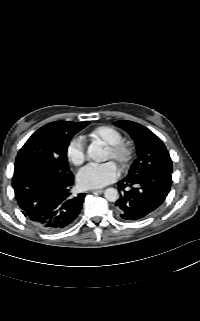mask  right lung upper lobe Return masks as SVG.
Here are the masks:
<instances>
[{"mask_svg":"<svg viewBox=\"0 0 200 321\" xmlns=\"http://www.w3.org/2000/svg\"><path fill=\"white\" fill-rule=\"evenodd\" d=\"M74 122H70V121H55V122H51L50 124L52 126H55L57 128H65L67 127L68 125L72 124Z\"/></svg>","mask_w":200,"mask_h":321,"instance_id":"right-lung-upper-lobe-1","label":"right lung upper lobe"}]
</instances>
